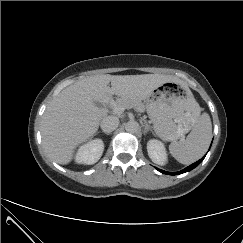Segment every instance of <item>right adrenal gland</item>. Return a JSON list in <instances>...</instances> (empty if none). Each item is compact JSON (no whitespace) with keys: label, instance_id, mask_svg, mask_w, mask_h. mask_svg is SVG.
Listing matches in <instances>:
<instances>
[{"label":"right adrenal gland","instance_id":"2a0ac1e0","mask_svg":"<svg viewBox=\"0 0 243 243\" xmlns=\"http://www.w3.org/2000/svg\"><path fill=\"white\" fill-rule=\"evenodd\" d=\"M105 134H107V135H109L110 133H106V132H104Z\"/></svg>","mask_w":243,"mask_h":243}]
</instances>
